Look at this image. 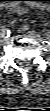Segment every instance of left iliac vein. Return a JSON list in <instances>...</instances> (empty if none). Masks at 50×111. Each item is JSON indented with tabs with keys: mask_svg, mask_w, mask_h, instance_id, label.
I'll return each mask as SVG.
<instances>
[{
	"mask_svg": "<svg viewBox=\"0 0 50 111\" xmlns=\"http://www.w3.org/2000/svg\"><path fill=\"white\" fill-rule=\"evenodd\" d=\"M28 34H29L30 36H32V37H35L39 42H42V41H43L42 38H41V36L38 35V34H36V33L33 32V31H29Z\"/></svg>",
	"mask_w": 50,
	"mask_h": 111,
	"instance_id": "obj_1",
	"label": "left iliac vein"
}]
</instances>
